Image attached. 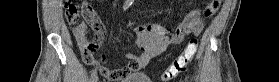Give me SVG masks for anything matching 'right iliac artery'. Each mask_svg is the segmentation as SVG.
Listing matches in <instances>:
<instances>
[{
	"mask_svg": "<svg viewBox=\"0 0 279 82\" xmlns=\"http://www.w3.org/2000/svg\"><path fill=\"white\" fill-rule=\"evenodd\" d=\"M133 3V0H127L125 3H124V6H123V9L126 10L128 9ZM98 81V76H97V69H93L92 72H91V79H90V82H97Z\"/></svg>",
	"mask_w": 279,
	"mask_h": 82,
	"instance_id": "right-iliac-artery-1",
	"label": "right iliac artery"
}]
</instances>
